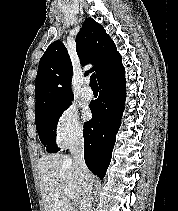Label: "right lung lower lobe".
Returning <instances> with one entry per match:
<instances>
[{"label":"right lung lower lobe","instance_id":"1","mask_svg":"<svg viewBox=\"0 0 178 211\" xmlns=\"http://www.w3.org/2000/svg\"><path fill=\"white\" fill-rule=\"evenodd\" d=\"M124 69L99 83V97L84 125V158L93 174L103 179L112 157L126 98Z\"/></svg>","mask_w":178,"mask_h":211}]
</instances>
